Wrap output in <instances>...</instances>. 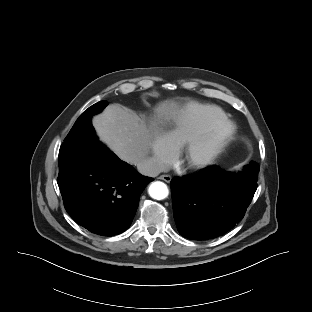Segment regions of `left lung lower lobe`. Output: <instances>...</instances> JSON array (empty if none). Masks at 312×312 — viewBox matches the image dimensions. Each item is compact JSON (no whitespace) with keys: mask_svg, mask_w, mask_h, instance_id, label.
Wrapping results in <instances>:
<instances>
[{"mask_svg":"<svg viewBox=\"0 0 312 312\" xmlns=\"http://www.w3.org/2000/svg\"><path fill=\"white\" fill-rule=\"evenodd\" d=\"M258 172L231 173L216 166L171 181L174 219L192 240L219 237L245 215L257 189Z\"/></svg>","mask_w":312,"mask_h":312,"instance_id":"1","label":"left lung lower lobe"}]
</instances>
